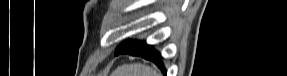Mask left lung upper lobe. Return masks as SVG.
<instances>
[{
    "label": "left lung upper lobe",
    "instance_id": "5c2ea615",
    "mask_svg": "<svg viewBox=\"0 0 287 76\" xmlns=\"http://www.w3.org/2000/svg\"><path fill=\"white\" fill-rule=\"evenodd\" d=\"M135 42H137V41H127V42L123 43L122 45H120L118 47V50L121 49L122 47L128 46V45L133 44Z\"/></svg>",
    "mask_w": 287,
    "mask_h": 76
}]
</instances>
